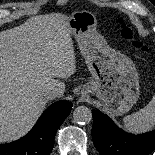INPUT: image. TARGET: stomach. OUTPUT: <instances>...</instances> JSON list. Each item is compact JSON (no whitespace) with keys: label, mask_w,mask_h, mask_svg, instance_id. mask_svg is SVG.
<instances>
[{"label":"stomach","mask_w":155,"mask_h":155,"mask_svg":"<svg viewBox=\"0 0 155 155\" xmlns=\"http://www.w3.org/2000/svg\"><path fill=\"white\" fill-rule=\"evenodd\" d=\"M67 28L78 43L80 53L91 73L82 93L98 97L113 115L127 113L139 98V77L132 60L110 48L96 30V19L88 12L68 17Z\"/></svg>","instance_id":"obj_1"}]
</instances>
